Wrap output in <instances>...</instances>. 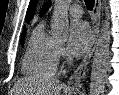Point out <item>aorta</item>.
<instances>
[{"label": "aorta", "mask_w": 119, "mask_h": 95, "mask_svg": "<svg viewBox=\"0 0 119 95\" xmlns=\"http://www.w3.org/2000/svg\"><path fill=\"white\" fill-rule=\"evenodd\" d=\"M72 0H55L52 32L56 38L65 39L68 36L69 21L68 7ZM110 54V32L109 23L105 21L102 25L100 35L96 44L90 76L89 95H103Z\"/></svg>", "instance_id": "1"}]
</instances>
